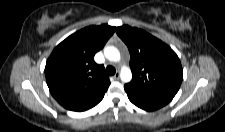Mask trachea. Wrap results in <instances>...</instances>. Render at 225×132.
I'll return each mask as SVG.
<instances>
[{
  "label": "trachea",
  "mask_w": 225,
  "mask_h": 132,
  "mask_svg": "<svg viewBox=\"0 0 225 132\" xmlns=\"http://www.w3.org/2000/svg\"><path fill=\"white\" fill-rule=\"evenodd\" d=\"M105 72L107 75H114L116 70L113 66H107Z\"/></svg>",
  "instance_id": "trachea-1"
}]
</instances>
